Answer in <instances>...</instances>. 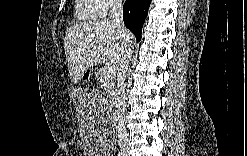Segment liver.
Returning <instances> with one entry per match:
<instances>
[{
	"label": "liver",
	"mask_w": 247,
	"mask_h": 156,
	"mask_svg": "<svg viewBox=\"0 0 247 156\" xmlns=\"http://www.w3.org/2000/svg\"><path fill=\"white\" fill-rule=\"evenodd\" d=\"M127 37L133 41L129 31ZM124 44L123 33L109 20L80 22L67 28L64 49L72 81L77 84L88 69L104 61L120 65Z\"/></svg>",
	"instance_id": "1"
}]
</instances>
